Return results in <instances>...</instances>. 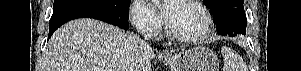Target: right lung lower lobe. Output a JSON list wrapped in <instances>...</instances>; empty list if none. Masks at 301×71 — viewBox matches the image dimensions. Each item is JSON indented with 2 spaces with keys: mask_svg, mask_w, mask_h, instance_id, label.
Here are the masks:
<instances>
[{
  "mask_svg": "<svg viewBox=\"0 0 301 71\" xmlns=\"http://www.w3.org/2000/svg\"><path fill=\"white\" fill-rule=\"evenodd\" d=\"M128 8L124 10L90 3H74L53 9L48 39L61 25L77 18H93L128 30Z\"/></svg>",
  "mask_w": 301,
  "mask_h": 71,
  "instance_id": "right-lung-lower-lobe-1",
  "label": "right lung lower lobe"
}]
</instances>
